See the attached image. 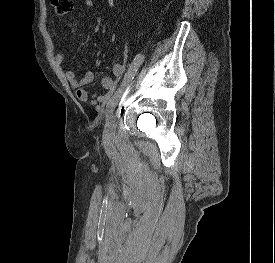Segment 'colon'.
<instances>
[{"label":"colon","instance_id":"obj_1","mask_svg":"<svg viewBox=\"0 0 275 263\" xmlns=\"http://www.w3.org/2000/svg\"><path fill=\"white\" fill-rule=\"evenodd\" d=\"M55 15L62 16L73 10L74 0H50Z\"/></svg>","mask_w":275,"mask_h":263}]
</instances>
